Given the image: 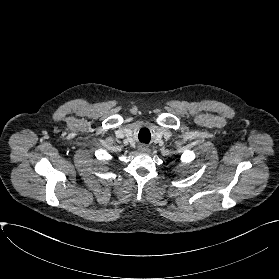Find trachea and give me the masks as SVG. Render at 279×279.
<instances>
[{
  "mask_svg": "<svg viewBox=\"0 0 279 279\" xmlns=\"http://www.w3.org/2000/svg\"><path fill=\"white\" fill-rule=\"evenodd\" d=\"M140 138V137H139ZM142 142L148 143L149 139L147 137L140 138Z\"/></svg>",
  "mask_w": 279,
  "mask_h": 279,
  "instance_id": "obj_1",
  "label": "trachea"
}]
</instances>
